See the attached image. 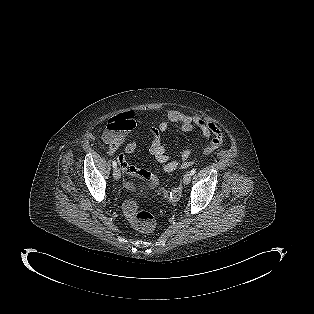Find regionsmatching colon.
Instances as JSON below:
<instances>
[{"mask_svg":"<svg viewBox=\"0 0 314 314\" xmlns=\"http://www.w3.org/2000/svg\"><path fill=\"white\" fill-rule=\"evenodd\" d=\"M135 126L134 114L132 112L121 113L109 120L103 139L108 144H113L124 138L125 134ZM150 187L160 196H166L167 191L158 187L152 178ZM123 212L131 225L142 233H150L155 227V218L148 211H140L133 198H128L123 203Z\"/></svg>","mask_w":314,"mask_h":314,"instance_id":"1","label":"colon"}]
</instances>
